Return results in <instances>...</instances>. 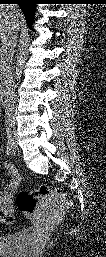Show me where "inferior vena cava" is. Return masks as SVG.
Instances as JSON below:
<instances>
[{"instance_id":"inferior-vena-cava-1","label":"inferior vena cava","mask_w":106,"mask_h":257,"mask_svg":"<svg viewBox=\"0 0 106 257\" xmlns=\"http://www.w3.org/2000/svg\"><path fill=\"white\" fill-rule=\"evenodd\" d=\"M19 27L12 26L7 34L6 41L3 42L1 49V64L0 73L4 80L3 82V96H4V109H5V125L7 130H11L15 127L14 117V97L15 88L13 80V67L12 60L14 55V49L16 47L18 38Z\"/></svg>"}]
</instances>
